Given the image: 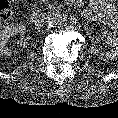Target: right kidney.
<instances>
[{"label":"right kidney","mask_w":118,"mask_h":118,"mask_svg":"<svg viewBox=\"0 0 118 118\" xmlns=\"http://www.w3.org/2000/svg\"><path fill=\"white\" fill-rule=\"evenodd\" d=\"M26 31V27L23 24H16L7 26L4 30L0 32V53L3 55H10L12 50L8 48L6 43L8 39L14 35H23ZM23 47L27 46V42H24Z\"/></svg>","instance_id":"ca27d5eb"}]
</instances>
